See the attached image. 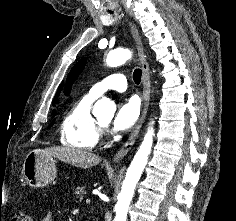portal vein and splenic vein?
Instances as JSON below:
<instances>
[{
  "label": "portal vein and splenic vein",
  "instance_id": "portal-vein-and-splenic-vein-1",
  "mask_svg": "<svg viewBox=\"0 0 236 221\" xmlns=\"http://www.w3.org/2000/svg\"><path fill=\"white\" fill-rule=\"evenodd\" d=\"M90 201H91V200H90L89 198L86 199V203H87V204H89Z\"/></svg>",
  "mask_w": 236,
  "mask_h": 221
}]
</instances>
